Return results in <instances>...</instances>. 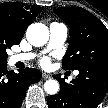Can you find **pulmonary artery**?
I'll return each instance as SVG.
<instances>
[{"instance_id":"pulmonary-artery-1","label":"pulmonary artery","mask_w":108,"mask_h":108,"mask_svg":"<svg viewBox=\"0 0 108 108\" xmlns=\"http://www.w3.org/2000/svg\"><path fill=\"white\" fill-rule=\"evenodd\" d=\"M50 39L47 49H54L60 47L66 40L67 27L62 23H52L49 27ZM36 56L35 53H21L15 54L10 58L11 63L24 62L33 59ZM78 71L74 72V75H78Z\"/></svg>"}]
</instances>
